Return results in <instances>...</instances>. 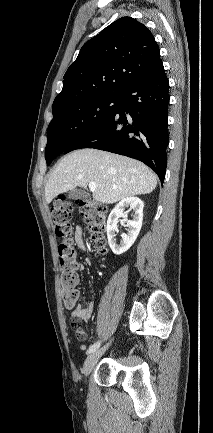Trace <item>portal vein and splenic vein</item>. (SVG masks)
<instances>
[{
    "instance_id": "18ae733b",
    "label": "portal vein and splenic vein",
    "mask_w": 213,
    "mask_h": 433,
    "mask_svg": "<svg viewBox=\"0 0 213 433\" xmlns=\"http://www.w3.org/2000/svg\"><path fill=\"white\" fill-rule=\"evenodd\" d=\"M89 188L91 191H94L97 188V184L95 182H90L89 183Z\"/></svg>"
}]
</instances>
